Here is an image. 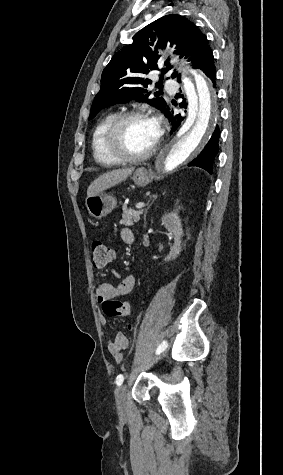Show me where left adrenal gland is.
<instances>
[{
	"label": "left adrenal gland",
	"mask_w": 283,
	"mask_h": 475,
	"mask_svg": "<svg viewBox=\"0 0 283 475\" xmlns=\"http://www.w3.org/2000/svg\"><path fill=\"white\" fill-rule=\"evenodd\" d=\"M153 198H154V200H157V196H153ZM150 200H151V198H150ZM150 200H149V202H150ZM154 200H152L150 206H152ZM150 206H148V208H150ZM148 208H147V210H148ZM147 210H145L144 216H143V218H144V228H145V226H146V214H147Z\"/></svg>",
	"instance_id": "obj_1"
}]
</instances>
